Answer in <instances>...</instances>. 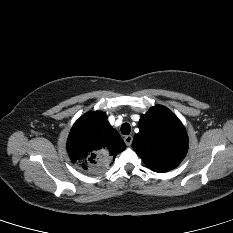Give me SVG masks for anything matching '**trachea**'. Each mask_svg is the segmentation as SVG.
<instances>
[{
  "instance_id": "3493384b",
  "label": "trachea",
  "mask_w": 233,
  "mask_h": 233,
  "mask_svg": "<svg viewBox=\"0 0 233 233\" xmlns=\"http://www.w3.org/2000/svg\"><path fill=\"white\" fill-rule=\"evenodd\" d=\"M131 131V127L129 125V123H123L121 126V133L123 135H128Z\"/></svg>"
}]
</instances>
